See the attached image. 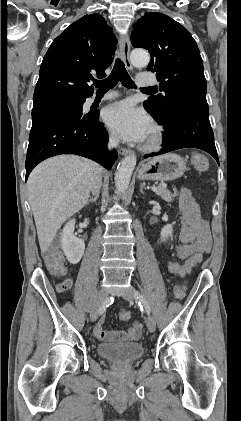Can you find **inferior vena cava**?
I'll return each instance as SVG.
<instances>
[{
    "instance_id": "1",
    "label": "inferior vena cava",
    "mask_w": 241,
    "mask_h": 421,
    "mask_svg": "<svg viewBox=\"0 0 241 421\" xmlns=\"http://www.w3.org/2000/svg\"><path fill=\"white\" fill-rule=\"evenodd\" d=\"M119 144V138L117 136H112L109 142V148L117 147ZM101 168L95 174L91 182V192L93 195L99 194L101 188Z\"/></svg>"
}]
</instances>
